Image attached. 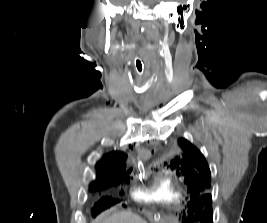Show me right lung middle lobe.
<instances>
[{
  "instance_id": "dd1d6c3e",
  "label": "right lung middle lobe",
  "mask_w": 267,
  "mask_h": 223,
  "mask_svg": "<svg viewBox=\"0 0 267 223\" xmlns=\"http://www.w3.org/2000/svg\"><path fill=\"white\" fill-rule=\"evenodd\" d=\"M126 179V177L123 176H110L107 177L105 179L100 180V184L97 186V184H94L95 186H97L98 188L101 187H108L111 186L115 183H117L118 181L121 182L122 180ZM117 201L108 197H102L99 202L95 205V211L99 212L107 207H110L111 205L116 204Z\"/></svg>"
}]
</instances>
